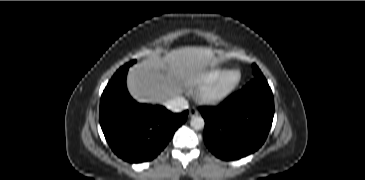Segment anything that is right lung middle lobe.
<instances>
[{"mask_svg":"<svg viewBox=\"0 0 365 180\" xmlns=\"http://www.w3.org/2000/svg\"><path fill=\"white\" fill-rule=\"evenodd\" d=\"M135 62H136V60H134V61H132V62H130V63H127L126 65L130 66L131 64H133V63H135Z\"/></svg>","mask_w":365,"mask_h":180,"instance_id":"1","label":"right lung middle lobe"}]
</instances>
